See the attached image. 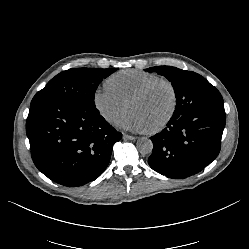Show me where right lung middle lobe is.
<instances>
[{"label":"right lung middle lobe","mask_w":249,"mask_h":249,"mask_svg":"<svg viewBox=\"0 0 249 249\" xmlns=\"http://www.w3.org/2000/svg\"><path fill=\"white\" fill-rule=\"evenodd\" d=\"M118 68H74L63 71L36 93L30 106L54 101H70L88 108H96L94 95L104 78Z\"/></svg>","instance_id":"obj_1"}]
</instances>
